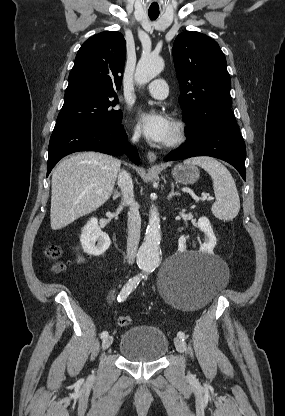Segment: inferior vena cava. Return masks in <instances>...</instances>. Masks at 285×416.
Here are the masks:
<instances>
[{
	"mask_svg": "<svg viewBox=\"0 0 285 416\" xmlns=\"http://www.w3.org/2000/svg\"><path fill=\"white\" fill-rule=\"evenodd\" d=\"M132 140L137 142L138 138L133 136ZM118 180V186H120L123 194V204L130 206L128 212L127 262L128 264H133L140 240L141 218L139 206L134 200L132 178H130L129 174L125 170H120Z\"/></svg>",
	"mask_w": 285,
	"mask_h": 416,
	"instance_id": "1",
	"label": "inferior vena cava"
}]
</instances>
